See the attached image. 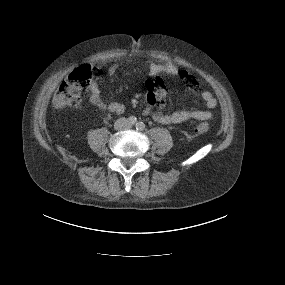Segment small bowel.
Returning <instances> with one entry per match:
<instances>
[{
	"mask_svg": "<svg viewBox=\"0 0 285 285\" xmlns=\"http://www.w3.org/2000/svg\"><path fill=\"white\" fill-rule=\"evenodd\" d=\"M150 76L146 81L147 87V107L144 109L146 115H150L159 123L162 124H178L187 120L207 121L211 118L212 113L209 110L186 108L166 113L163 111L167 96L166 88L163 82L158 77L160 74L174 75L183 78L187 86L192 91L199 89V83L186 70L179 68L172 63H156L148 61ZM121 64H113L108 72L113 75L120 68ZM200 97L208 109H213L217 105V101L210 91L203 90L200 92ZM90 102L104 110H108L115 114H120L124 111L125 106L120 102L106 103L101 95V90L96 82H92L89 88Z\"/></svg>",
	"mask_w": 285,
	"mask_h": 285,
	"instance_id": "small-bowel-1",
	"label": "small bowel"
}]
</instances>
